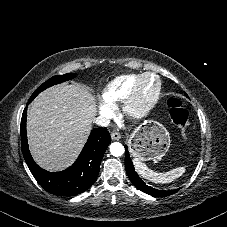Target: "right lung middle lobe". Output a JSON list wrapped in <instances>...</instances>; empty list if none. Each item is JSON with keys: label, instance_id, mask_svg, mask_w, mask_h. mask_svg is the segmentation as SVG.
Listing matches in <instances>:
<instances>
[{"label": "right lung middle lobe", "instance_id": "1", "mask_svg": "<svg viewBox=\"0 0 227 227\" xmlns=\"http://www.w3.org/2000/svg\"><path fill=\"white\" fill-rule=\"evenodd\" d=\"M75 76H76V74H73V73H68V74H65V75L53 76L52 78H50L49 80L44 82L40 87H38L36 89V91L30 97L29 102H31L41 91L47 89L48 87L53 86L55 84L62 83V82L67 81V80H71Z\"/></svg>", "mask_w": 227, "mask_h": 227}]
</instances>
